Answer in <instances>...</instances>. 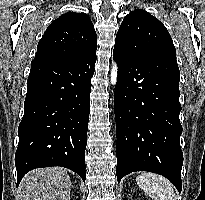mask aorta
Segmentation results:
<instances>
[{
  "instance_id": "obj_1",
  "label": "aorta",
  "mask_w": 205,
  "mask_h": 200,
  "mask_svg": "<svg viewBox=\"0 0 205 200\" xmlns=\"http://www.w3.org/2000/svg\"><path fill=\"white\" fill-rule=\"evenodd\" d=\"M117 76H118V68H117L116 63H113L111 74H110V80H111L112 85H116Z\"/></svg>"
}]
</instances>
